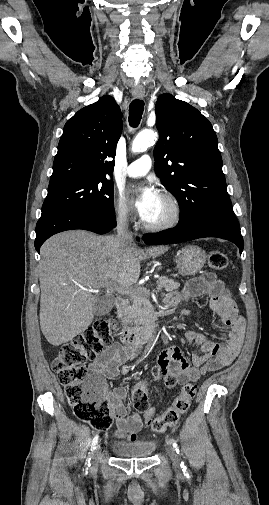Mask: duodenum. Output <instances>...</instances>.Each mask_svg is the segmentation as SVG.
Returning a JSON list of instances; mask_svg holds the SVG:
<instances>
[{"label":"duodenum","mask_w":269,"mask_h":505,"mask_svg":"<svg viewBox=\"0 0 269 505\" xmlns=\"http://www.w3.org/2000/svg\"><path fill=\"white\" fill-rule=\"evenodd\" d=\"M115 310L121 314L127 306L126 298L119 296L115 299ZM160 326L158 322L150 317L140 325L122 324L118 330L120 341L128 346L140 347L144 343L156 341L159 338Z\"/></svg>","instance_id":"duodenum-1"}]
</instances>
